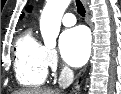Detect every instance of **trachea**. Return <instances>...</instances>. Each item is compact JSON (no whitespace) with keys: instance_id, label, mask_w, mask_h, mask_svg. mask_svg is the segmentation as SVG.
Here are the masks:
<instances>
[{"instance_id":"1","label":"trachea","mask_w":121,"mask_h":94,"mask_svg":"<svg viewBox=\"0 0 121 94\" xmlns=\"http://www.w3.org/2000/svg\"><path fill=\"white\" fill-rule=\"evenodd\" d=\"M76 6H77L78 13L82 17H85V13H86L85 8H84L83 4L79 0H76Z\"/></svg>"}]
</instances>
